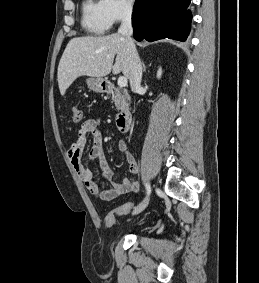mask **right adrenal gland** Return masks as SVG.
Returning <instances> with one entry per match:
<instances>
[{
  "instance_id": "obj_1",
  "label": "right adrenal gland",
  "mask_w": 259,
  "mask_h": 283,
  "mask_svg": "<svg viewBox=\"0 0 259 283\" xmlns=\"http://www.w3.org/2000/svg\"><path fill=\"white\" fill-rule=\"evenodd\" d=\"M142 68H143V72H145L146 71V66H145V64L142 62Z\"/></svg>"
}]
</instances>
